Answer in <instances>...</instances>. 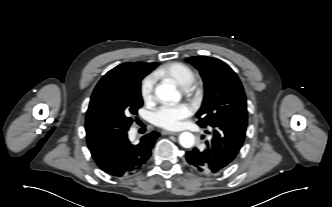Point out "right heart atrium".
I'll list each match as a JSON object with an SVG mask.
<instances>
[{"label": "right heart atrium", "mask_w": 332, "mask_h": 207, "mask_svg": "<svg viewBox=\"0 0 332 207\" xmlns=\"http://www.w3.org/2000/svg\"><path fill=\"white\" fill-rule=\"evenodd\" d=\"M155 77L147 76L143 79L140 86L141 97L144 102L151 103L154 100Z\"/></svg>", "instance_id": "d8ad5b80"}]
</instances>
